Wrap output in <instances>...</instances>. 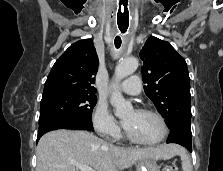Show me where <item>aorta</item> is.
<instances>
[{
    "label": "aorta",
    "instance_id": "1",
    "mask_svg": "<svg viewBox=\"0 0 223 171\" xmlns=\"http://www.w3.org/2000/svg\"><path fill=\"white\" fill-rule=\"evenodd\" d=\"M139 66L136 58H126L121 60L115 67V83L117 84L123 78L133 74ZM110 102L115 108V115L124 116L133 109L130 101L124 99L119 91L114 90L110 97Z\"/></svg>",
    "mask_w": 223,
    "mask_h": 171
}]
</instances>
